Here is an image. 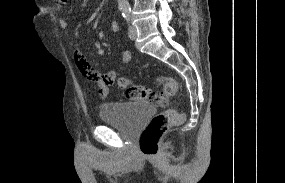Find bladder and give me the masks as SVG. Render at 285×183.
I'll return each mask as SVG.
<instances>
[{
	"label": "bladder",
	"mask_w": 285,
	"mask_h": 183,
	"mask_svg": "<svg viewBox=\"0 0 285 183\" xmlns=\"http://www.w3.org/2000/svg\"><path fill=\"white\" fill-rule=\"evenodd\" d=\"M155 112L149 103H108L100 107L99 115L104 123L117 125L126 133H136Z\"/></svg>",
	"instance_id": "31cf9c89"
}]
</instances>
